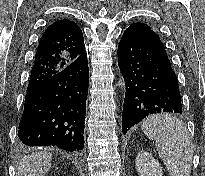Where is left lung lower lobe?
Segmentation results:
<instances>
[{
  "label": "left lung lower lobe",
  "mask_w": 205,
  "mask_h": 176,
  "mask_svg": "<svg viewBox=\"0 0 205 176\" xmlns=\"http://www.w3.org/2000/svg\"><path fill=\"white\" fill-rule=\"evenodd\" d=\"M118 65L126 85L124 134L150 114L182 113L177 77L158 37L130 25L118 45Z\"/></svg>",
  "instance_id": "left-lung-lower-lobe-1"
}]
</instances>
